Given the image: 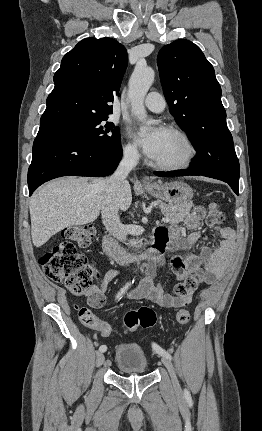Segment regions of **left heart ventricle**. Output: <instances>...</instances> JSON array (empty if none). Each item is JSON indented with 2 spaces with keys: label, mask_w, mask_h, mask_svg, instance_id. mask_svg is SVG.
<instances>
[{
  "label": "left heart ventricle",
  "mask_w": 262,
  "mask_h": 431,
  "mask_svg": "<svg viewBox=\"0 0 262 431\" xmlns=\"http://www.w3.org/2000/svg\"><path fill=\"white\" fill-rule=\"evenodd\" d=\"M185 153L183 141L174 134L163 132L162 141L153 161L173 163L180 160Z\"/></svg>",
  "instance_id": "1"
}]
</instances>
